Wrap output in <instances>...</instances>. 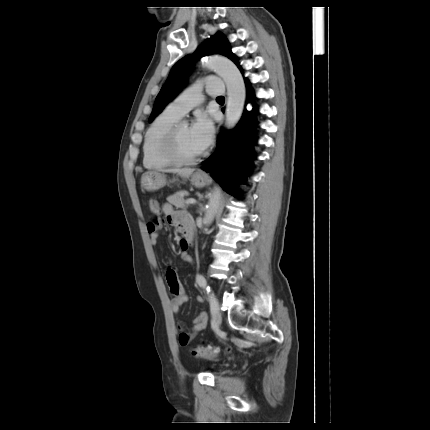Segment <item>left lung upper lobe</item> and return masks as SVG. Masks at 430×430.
<instances>
[{"label":"left lung upper lobe","instance_id":"obj_1","mask_svg":"<svg viewBox=\"0 0 430 430\" xmlns=\"http://www.w3.org/2000/svg\"><path fill=\"white\" fill-rule=\"evenodd\" d=\"M211 54H221L228 57L242 72V68L239 65L237 57L232 53L227 38L221 32H217L214 36L207 39L192 56L183 57L172 67L168 79L156 98L149 121L161 113L164 107L176 97L186 82L193 62L202 56Z\"/></svg>","mask_w":430,"mask_h":430}]
</instances>
